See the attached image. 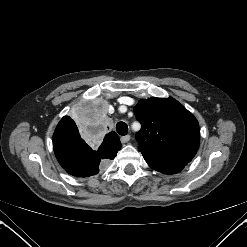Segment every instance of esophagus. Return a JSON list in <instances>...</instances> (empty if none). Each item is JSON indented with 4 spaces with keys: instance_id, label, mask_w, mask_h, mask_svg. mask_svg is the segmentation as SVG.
<instances>
[{
    "instance_id": "esophagus-1",
    "label": "esophagus",
    "mask_w": 247,
    "mask_h": 247,
    "mask_svg": "<svg viewBox=\"0 0 247 247\" xmlns=\"http://www.w3.org/2000/svg\"><path fill=\"white\" fill-rule=\"evenodd\" d=\"M131 139L130 135H125L120 138L122 143H127Z\"/></svg>"
}]
</instances>
